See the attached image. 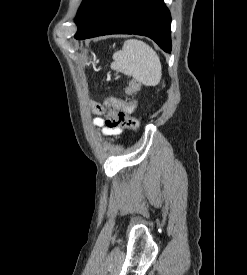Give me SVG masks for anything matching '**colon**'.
<instances>
[{"instance_id":"colon-1","label":"colon","mask_w":247,"mask_h":275,"mask_svg":"<svg viewBox=\"0 0 247 275\" xmlns=\"http://www.w3.org/2000/svg\"><path fill=\"white\" fill-rule=\"evenodd\" d=\"M140 89V83L135 78H130L125 86V94L129 99L122 100L117 97H109L105 101V108H107L106 124L112 128H127L137 130L139 122L132 116L136 108V100L133 98ZM92 110L99 114L104 111V107L97 103H91Z\"/></svg>"}]
</instances>
